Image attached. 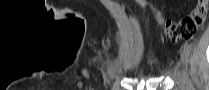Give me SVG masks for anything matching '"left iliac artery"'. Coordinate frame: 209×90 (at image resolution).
Returning <instances> with one entry per match:
<instances>
[{
  "instance_id": "1",
  "label": "left iliac artery",
  "mask_w": 209,
  "mask_h": 90,
  "mask_svg": "<svg viewBox=\"0 0 209 90\" xmlns=\"http://www.w3.org/2000/svg\"><path fill=\"white\" fill-rule=\"evenodd\" d=\"M183 48H184V50H186L189 54H190L191 51H192L191 45H190L189 43H187V42L184 43Z\"/></svg>"
}]
</instances>
